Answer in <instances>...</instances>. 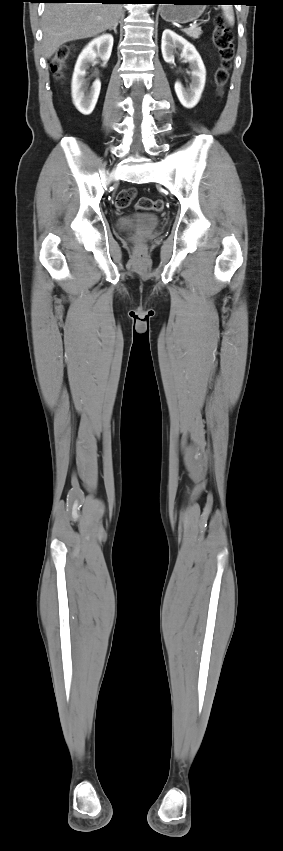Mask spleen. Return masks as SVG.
<instances>
[{
  "mask_svg": "<svg viewBox=\"0 0 283 851\" xmlns=\"http://www.w3.org/2000/svg\"><path fill=\"white\" fill-rule=\"evenodd\" d=\"M225 18L228 20L229 24L234 25V12L231 6H223L222 7Z\"/></svg>",
  "mask_w": 283,
  "mask_h": 851,
  "instance_id": "1",
  "label": "spleen"
}]
</instances>
